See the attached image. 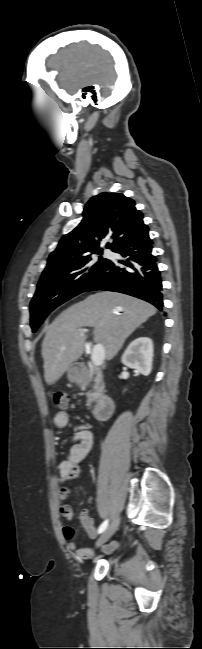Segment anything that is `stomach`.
<instances>
[{
  "label": "stomach",
  "mask_w": 202,
  "mask_h": 649,
  "mask_svg": "<svg viewBox=\"0 0 202 649\" xmlns=\"http://www.w3.org/2000/svg\"><path fill=\"white\" fill-rule=\"evenodd\" d=\"M67 376L70 382L79 383L82 379V372L79 370V368L71 365L67 369Z\"/></svg>",
  "instance_id": "1"
}]
</instances>
